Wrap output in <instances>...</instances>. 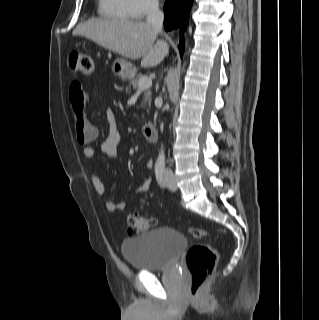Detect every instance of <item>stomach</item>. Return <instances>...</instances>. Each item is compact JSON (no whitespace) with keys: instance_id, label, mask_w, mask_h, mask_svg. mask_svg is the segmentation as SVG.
Masks as SVG:
<instances>
[{"instance_id":"stomach-1","label":"stomach","mask_w":319,"mask_h":320,"mask_svg":"<svg viewBox=\"0 0 319 320\" xmlns=\"http://www.w3.org/2000/svg\"><path fill=\"white\" fill-rule=\"evenodd\" d=\"M112 71L116 77L122 80L132 79L135 75V67L124 59H116Z\"/></svg>"}]
</instances>
